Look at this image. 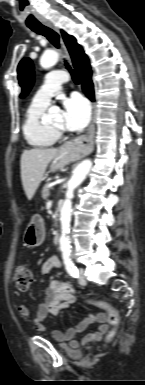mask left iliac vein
Here are the masks:
<instances>
[{
	"mask_svg": "<svg viewBox=\"0 0 145 385\" xmlns=\"http://www.w3.org/2000/svg\"><path fill=\"white\" fill-rule=\"evenodd\" d=\"M78 281L81 284H85L86 283L85 270L83 268H79V270H78Z\"/></svg>",
	"mask_w": 145,
	"mask_h": 385,
	"instance_id": "1",
	"label": "left iliac vein"
}]
</instances>
